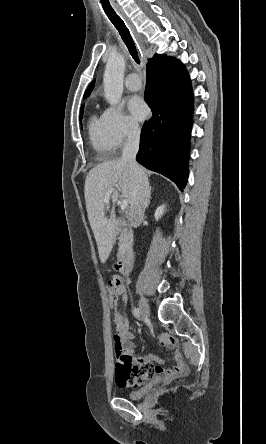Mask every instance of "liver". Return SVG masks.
<instances>
[{"label":"liver","mask_w":266,"mask_h":444,"mask_svg":"<svg viewBox=\"0 0 266 444\" xmlns=\"http://www.w3.org/2000/svg\"><path fill=\"white\" fill-rule=\"evenodd\" d=\"M116 186L120 187L123 196L131 204L134 176L129 163L120 158L95 166L86 176L84 189L86 209L102 263L107 261L117 233L118 221L114 204L118 199V192L112 193L113 207L109 218L105 215L108 203L104 202V198L107 191Z\"/></svg>","instance_id":"1"}]
</instances>
